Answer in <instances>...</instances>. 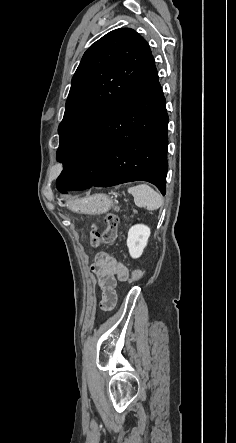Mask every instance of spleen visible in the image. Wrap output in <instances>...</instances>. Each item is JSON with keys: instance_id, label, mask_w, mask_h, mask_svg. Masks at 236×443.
I'll return each instance as SVG.
<instances>
[{"instance_id": "3e777b00", "label": "spleen", "mask_w": 236, "mask_h": 443, "mask_svg": "<svg viewBox=\"0 0 236 443\" xmlns=\"http://www.w3.org/2000/svg\"><path fill=\"white\" fill-rule=\"evenodd\" d=\"M128 193L134 197L138 207H144L149 211L157 210L163 204L162 196L147 184L130 187Z\"/></svg>"}]
</instances>
